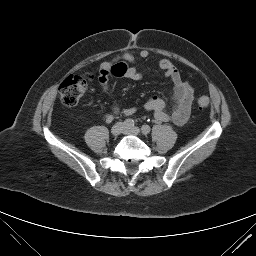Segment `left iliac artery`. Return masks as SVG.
Returning a JSON list of instances; mask_svg holds the SVG:
<instances>
[{
    "instance_id": "obj_1",
    "label": "left iliac artery",
    "mask_w": 256,
    "mask_h": 256,
    "mask_svg": "<svg viewBox=\"0 0 256 256\" xmlns=\"http://www.w3.org/2000/svg\"><path fill=\"white\" fill-rule=\"evenodd\" d=\"M141 130H142V133L143 134H148V133H150V131H151V128H150V126L149 125H143L142 127H141Z\"/></svg>"
}]
</instances>
